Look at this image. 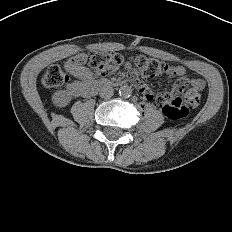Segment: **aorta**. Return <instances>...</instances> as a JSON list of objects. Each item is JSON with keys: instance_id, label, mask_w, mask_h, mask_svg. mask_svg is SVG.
Returning <instances> with one entry per match:
<instances>
[{"instance_id": "aorta-1", "label": "aorta", "mask_w": 232, "mask_h": 232, "mask_svg": "<svg viewBox=\"0 0 232 232\" xmlns=\"http://www.w3.org/2000/svg\"><path fill=\"white\" fill-rule=\"evenodd\" d=\"M119 94L123 98H128L132 95V88L128 85H123L119 88Z\"/></svg>"}]
</instances>
